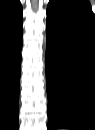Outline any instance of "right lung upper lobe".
Instances as JSON below:
<instances>
[{
	"label": "right lung upper lobe",
	"mask_w": 95,
	"mask_h": 130,
	"mask_svg": "<svg viewBox=\"0 0 95 130\" xmlns=\"http://www.w3.org/2000/svg\"><path fill=\"white\" fill-rule=\"evenodd\" d=\"M22 6L20 0H1L0 35L14 31L22 25Z\"/></svg>",
	"instance_id": "obj_1"
}]
</instances>
